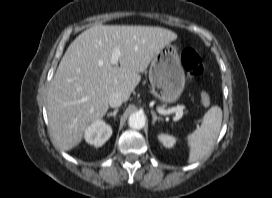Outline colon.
<instances>
[{"mask_svg": "<svg viewBox=\"0 0 272 198\" xmlns=\"http://www.w3.org/2000/svg\"><path fill=\"white\" fill-rule=\"evenodd\" d=\"M181 60L187 73L192 77H200L204 73V65L200 56L192 48H185L181 52ZM201 103L208 104L211 100V91L209 88H202L198 92Z\"/></svg>", "mask_w": 272, "mask_h": 198, "instance_id": "colon-1", "label": "colon"}]
</instances>
